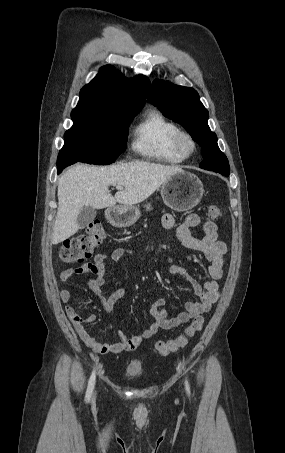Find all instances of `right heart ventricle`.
Returning a JSON list of instances; mask_svg holds the SVG:
<instances>
[{
    "label": "right heart ventricle",
    "mask_w": 285,
    "mask_h": 453,
    "mask_svg": "<svg viewBox=\"0 0 285 453\" xmlns=\"http://www.w3.org/2000/svg\"><path fill=\"white\" fill-rule=\"evenodd\" d=\"M178 126L157 110H149L133 131L132 148L138 154L161 162L185 159L175 147Z\"/></svg>",
    "instance_id": "e07e8e85"
}]
</instances>
